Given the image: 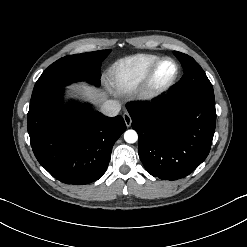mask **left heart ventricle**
<instances>
[{
    "label": "left heart ventricle",
    "instance_id": "left-heart-ventricle-1",
    "mask_svg": "<svg viewBox=\"0 0 247 247\" xmlns=\"http://www.w3.org/2000/svg\"><path fill=\"white\" fill-rule=\"evenodd\" d=\"M176 74V66L172 61H163L156 69L152 86L155 88L162 87L169 83Z\"/></svg>",
    "mask_w": 247,
    "mask_h": 247
}]
</instances>
